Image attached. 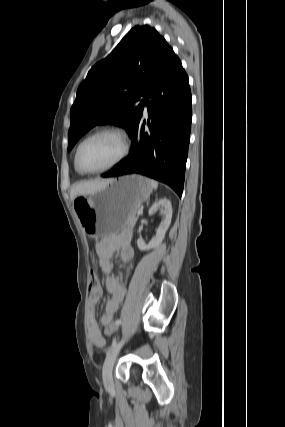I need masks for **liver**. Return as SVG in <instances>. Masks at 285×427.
<instances>
[{
  "label": "liver",
  "mask_w": 285,
  "mask_h": 427,
  "mask_svg": "<svg viewBox=\"0 0 285 427\" xmlns=\"http://www.w3.org/2000/svg\"><path fill=\"white\" fill-rule=\"evenodd\" d=\"M112 179H98L86 182H79L72 186L70 192L71 200L79 195L93 194L104 188Z\"/></svg>",
  "instance_id": "6515ba94"
}]
</instances>
